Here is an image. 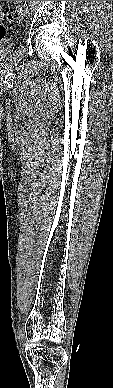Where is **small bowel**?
Here are the masks:
<instances>
[{
  "mask_svg": "<svg viewBox=\"0 0 113 388\" xmlns=\"http://www.w3.org/2000/svg\"><path fill=\"white\" fill-rule=\"evenodd\" d=\"M0 14H2V12H1V6H0Z\"/></svg>",
  "mask_w": 113,
  "mask_h": 388,
  "instance_id": "small-bowel-1",
  "label": "small bowel"
}]
</instances>
